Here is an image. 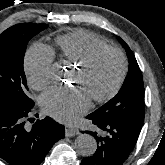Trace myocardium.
<instances>
[{"label": "myocardium", "mask_w": 165, "mask_h": 165, "mask_svg": "<svg viewBox=\"0 0 165 165\" xmlns=\"http://www.w3.org/2000/svg\"><path fill=\"white\" fill-rule=\"evenodd\" d=\"M105 51L114 52L115 54L119 56L121 68H120V73L118 75V78L116 82L114 83V85L111 87V89L101 96H96L92 98V100L96 103L106 102L117 94V92L120 90L125 80L127 70H128L127 58L124 52L115 46H111L107 44L101 45L92 49L79 63H77V68L80 70H86L92 64V62L96 59V57Z\"/></svg>", "instance_id": "f54148a6"}]
</instances>
